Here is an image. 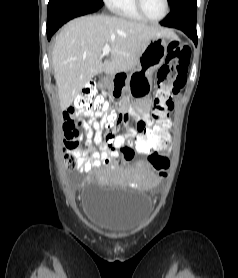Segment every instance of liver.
<instances>
[{"instance_id":"obj_1","label":"liver","mask_w":238,"mask_h":278,"mask_svg":"<svg viewBox=\"0 0 238 278\" xmlns=\"http://www.w3.org/2000/svg\"><path fill=\"white\" fill-rule=\"evenodd\" d=\"M174 38L159 26L104 15H87L68 22L56 37L52 65L62 110L99 73L114 75L133 70L151 39ZM110 55L102 62L103 47Z\"/></svg>"}]
</instances>
